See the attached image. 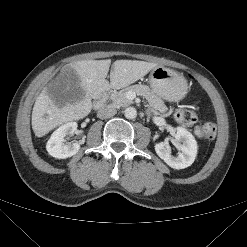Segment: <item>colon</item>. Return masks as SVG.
Here are the masks:
<instances>
[{"mask_svg":"<svg viewBox=\"0 0 247 247\" xmlns=\"http://www.w3.org/2000/svg\"><path fill=\"white\" fill-rule=\"evenodd\" d=\"M175 118L182 124L192 125L197 122L198 116L193 109L185 108L178 110L175 114ZM195 131L199 137L212 140L216 136L217 128L215 124L209 122L202 126L196 127Z\"/></svg>","mask_w":247,"mask_h":247,"instance_id":"obj_1","label":"colon"}]
</instances>
